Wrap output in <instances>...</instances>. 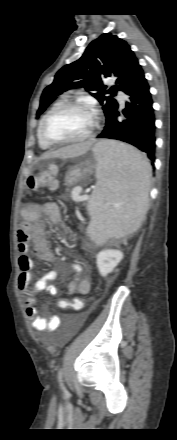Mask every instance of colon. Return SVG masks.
<instances>
[{
	"mask_svg": "<svg viewBox=\"0 0 177 440\" xmlns=\"http://www.w3.org/2000/svg\"><path fill=\"white\" fill-rule=\"evenodd\" d=\"M56 173V168L51 167L47 171L32 175L27 180L28 187L34 189L39 186H47L50 189H55L58 185ZM84 304V298H58L56 308L58 311H83Z\"/></svg>",
	"mask_w": 177,
	"mask_h": 440,
	"instance_id": "obj_1",
	"label": "colon"
}]
</instances>
